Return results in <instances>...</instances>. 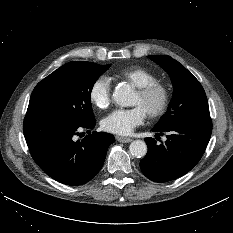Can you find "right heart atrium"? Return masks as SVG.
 Here are the masks:
<instances>
[{
  "label": "right heart atrium",
  "mask_w": 233,
  "mask_h": 233,
  "mask_svg": "<svg viewBox=\"0 0 233 233\" xmlns=\"http://www.w3.org/2000/svg\"><path fill=\"white\" fill-rule=\"evenodd\" d=\"M89 100L98 109H106L112 100V87L109 79L99 77L92 83Z\"/></svg>",
  "instance_id": "1"
}]
</instances>
